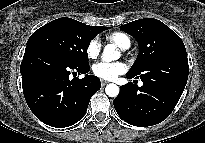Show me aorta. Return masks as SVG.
Instances as JSON below:
<instances>
[{
    "mask_svg": "<svg viewBox=\"0 0 205 143\" xmlns=\"http://www.w3.org/2000/svg\"><path fill=\"white\" fill-rule=\"evenodd\" d=\"M120 58V52L114 44H107L102 53V59L106 62L114 61ZM105 92L109 97H116L119 94V87L110 83L106 86Z\"/></svg>",
    "mask_w": 205,
    "mask_h": 143,
    "instance_id": "aorta-1",
    "label": "aorta"
}]
</instances>
